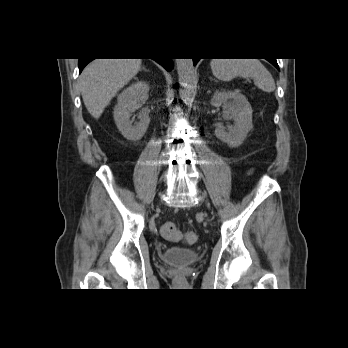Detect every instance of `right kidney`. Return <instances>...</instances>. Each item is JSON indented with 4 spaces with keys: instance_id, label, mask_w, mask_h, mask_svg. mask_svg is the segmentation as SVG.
Returning a JSON list of instances; mask_svg holds the SVG:
<instances>
[{
    "instance_id": "obj_1",
    "label": "right kidney",
    "mask_w": 348,
    "mask_h": 348,
    "mask_svg": "<svg viewBox=\"0 0 348 348\" xmlns=\"http://www.w3.org/2000/svg\"><path fill=\"white\" fill-rule=\"evenodd\" d=\"M149 85L138 81L124 89L118 95L117 105L114 107V120L118 130L128 140H140L150 123L149 113L142 111L138 115L139 121L133 125L131 114L138 108V100L141 95L148 93Z\"/></svg>"
}]
</instances>
